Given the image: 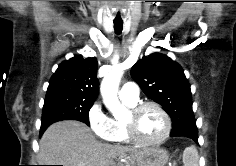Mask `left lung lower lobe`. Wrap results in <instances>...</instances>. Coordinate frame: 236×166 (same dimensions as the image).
Returning <instances> with one entry per match:
<instances>
[{
    "instance_id": "left-lung-lower-lobe-1",
    "label": "left lung lower lobe",
    "mask_w": 236,
    "mask_h": 166,
    "mask_svg": "<svg viewBox=\"0 0 236 166\" xmlns=\"http://www.w3.org/2000/svg\"><path fill=\"white\" fill-rule=\"evenodd\" d=\"M170 136H183L192 138L195 142H198V130L195 122L176 123L172 125Z\"/></svg>"
}]
</instances>
